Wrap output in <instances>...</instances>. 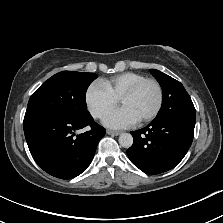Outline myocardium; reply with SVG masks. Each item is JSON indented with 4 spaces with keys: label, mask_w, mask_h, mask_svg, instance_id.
Returning a JSON list of instances; mask_svg holds the SVG:
<instances>
[{
    "label": "myocardium",
    "mask_w": 223,
    "mask_h": 223,
    "mask_svg": "<svg viewBox=\"0 0 223 223\" xmlns=\"http://www.w3.org/2000/svg\"><path fill=\"white\" fill-rule=\"evenodd\" d=\"M152 84L155 89H156V94H157V98H156V104L155 107L153 108V110L145 117L139 119V122H147L152 120L153 118H155L157 116V114L159 113L161 106H162V101H163V92H162V88L161 85L159 84V82L153 78H144L143 80L137 82L134 86H132L130 89H128L126 92H124L120 97H119V102L122 99L125 98H129L133 95H135L142 86H144L145 84Z\"/></svg>",
    "instance_id": "obj_1"
}]
</instances>
